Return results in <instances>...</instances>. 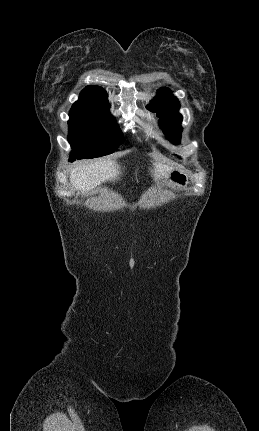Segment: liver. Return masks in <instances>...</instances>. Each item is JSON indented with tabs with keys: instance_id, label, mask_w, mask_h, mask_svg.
Returning <instances> with one entry per match:
<instances>
[{
	"instance_id": "obj_1",
	"label": "liver",
	"mask_w": 259,
	"mask_h": 431,
	"mask_svg": "<svg viewBox=\"0 0 259 431\" xmlns=\"http://www.w3.org/2000/svg\"><path fill=\"white\" fill-rule=\"evenodd\" d=\"M155 179L168 178L173 170L171 166L154 163ZM120 166L115 160H103L87 165H76L70 172V183L72 188L87 194L95 189L101 182L118 179Z\"/></svg>"
}]
</instances>
